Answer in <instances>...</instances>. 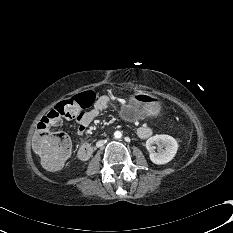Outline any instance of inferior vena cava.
I'll use <instances>...</instances> for the list:
<instances>
[{"label":"inferior vena cava","instance_id":"602c4592","mask_svg":"<svg viewBox=\"0 0 233 233\" xmlns=\"http://www.w3.org/2000/svg\"><path fill=\"white\" fill-rule=\"evenodd\" d=\"M104 145V141L103 140H100V141H98L97 143H96V146L97 147H101V146H103Z\"/></svg>","mask_w":233,"mask_h":233}]
</instances>
